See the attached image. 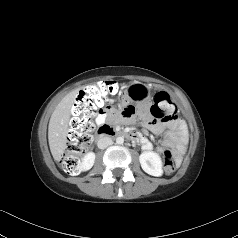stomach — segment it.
<instances>
[{"mask_svg": "<svg viewBox=\"0 0 238 238\" xmlns=\"http://www.w3.org/2000/svg\"><path fill=\"white\" fill-rule=\"evenodd\" d=\"M126 93L135 99L149 98L150 90L149 88L142 83H135L127 87Z\"/></svg>", "mask_w": 238, "mask_h": 238, "instance_id": "0dacf381", "label": "stomach"}]
</instances>
